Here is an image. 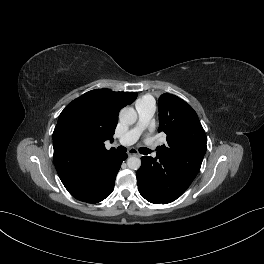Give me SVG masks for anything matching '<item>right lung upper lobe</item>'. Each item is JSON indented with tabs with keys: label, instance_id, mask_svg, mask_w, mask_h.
Returning a JSON list of instances; mask_svg holds the SVG:
<instances>
[{
	"label": "right lung upper lobe",
	"instance_id": "obj_1",
	"mask_svg": "<svg viewBox=\"0 0 264 264\" xmlns=\"http://www.w3.org/2000/svg\"><path fill=\"white\" fill-rule=\"evenodd\" d=\"M137 97L134 92L91 90L69 103L53 132L54 164L75 198L89 197L99 185L98 174L115 153L104 142L113 140L119 111Z\"/></svg>",
	"mask_w": 264,
	"mask_h": 264
}]
</instances>
